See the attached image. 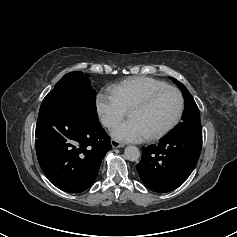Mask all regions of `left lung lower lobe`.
Wrapping results in <instances>:
<instances>
[{
  "instance_id": "1",
  "label": "left lung lower lobe",
  "mask_w": 237,
  "mask_h": 237,
  "mask_svg": "<svg viewBox=\"0 0 237 237\" xmlns=\"http://www.w3.org/2000/svg\"><path fill=\"white\" fill-rule=\"evenodd\" d=\"M202 147V133L165 137L158 144L142 149L136 165L146 187L165 193L179 187L196 166Z\"/></svg>"
}]
</instances>
